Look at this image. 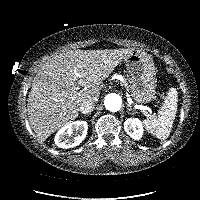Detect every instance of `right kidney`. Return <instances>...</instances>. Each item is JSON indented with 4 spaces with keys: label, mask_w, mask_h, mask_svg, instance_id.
I'll return each mask as SVG.
<instances>
[{
    "label": "right kidney",
    "mask_w": 200,
    "mask_h": 200,
    "mask_svg": "<svg viewBox=\"0 0 200 200\" xmlns=\"http://www.w3.org/2000/svg\"><path fill=\"white\" fill-rule=\"evenodd\" d=\"M87 130L86 121L70 122L56 133L55 144L64 149L76 147L85 139Z\"/></svg>",
    "instance_id": "1"
}]
</instances>
